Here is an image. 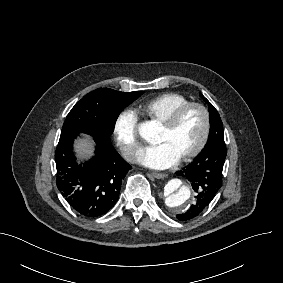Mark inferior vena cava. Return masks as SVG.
Listing matches in <instances>:
<instances>
[{
    "instance_id": "inferior-vena-cava-1",
    "label": "inferior vena cava",
    "mask_w": 283,
    "mask_h": 283,
    "mask_svg": "<svg viewBox=\"0 0 283 283\" xmlns=\"http://www.w3.org/2000/svg\"><path fill=\"white\" fill-rule=\"evenodd\" d=\"M132 162H136V157H134V160Z\"/></svg>"
}]
</instances>
